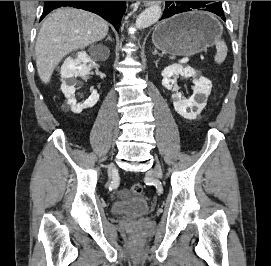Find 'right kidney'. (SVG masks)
<instances>
[{
    "mask_svg": "<svg viewBox=\"0 0 271 266\" xmlns=\"http://www.w3.org/2000/svg\"><path fill=\"white\" fill-rule=\"evenodd\" d=\"M91 62L92 57L88 56L85 51H80L66 58L62 64L61 90L74 113H81L83 109L93 107L99 100V94L96 90H93L89 98L81 104L77 102L74 96L76 90L74 87L75 78L77 76H86L89 73V68L87 65Z\"/></svg>",
    "mask_w": 271,
    "mask_h": 266,
    "instance_id": "1",
    "label": "right kidney"
}]
</instances>
